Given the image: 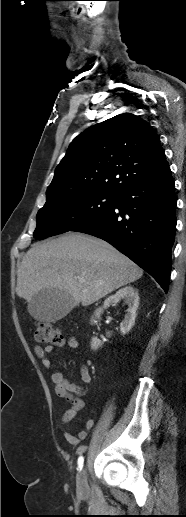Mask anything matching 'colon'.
<instances>
[{
    "instance_id": "5ec220e1",
    "label": "colon",
    "mask_w": 186,
    "mask_h": 517,
    "mask_svg": "<svg viewBox=\"0 0 186 517\" xmlns=\"http://www.w3.org/2000/svg\"><path fill=\"white\" fill-rule=\"evenodd\" d=\"M35 340L42 344H51L63 340V332L59 328H54L48 323L38 322L34 332Z\"/></svg>"
}]
</instances>
